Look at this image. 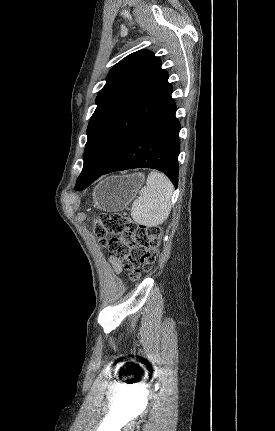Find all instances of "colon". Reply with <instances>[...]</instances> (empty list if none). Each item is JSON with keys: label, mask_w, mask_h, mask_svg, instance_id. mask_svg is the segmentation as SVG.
<instances>
[{"label": "colon", "mask_w": 275, "mask_h": 431, "mask_svg": "<svg viewBox=\"0 0 275 431\" xmlns=\"http://www.w3.org/2000/svg\"><path fill=\"white\" fill-rule=\"evenodd\" d=\"M93 230L109 254L122 262L133 281L140 278L142 271H149L158 257L162 234L159 226L139 225L122 214H103L93 221ZM109 234L115 237L107 240Z\"/></svg>", "instance_id": "5ec220e1"}]
</instances>
